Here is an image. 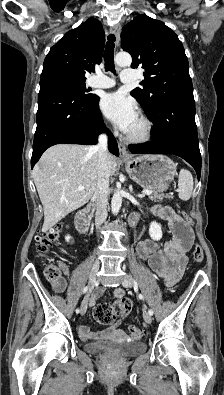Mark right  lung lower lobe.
I'll return each mask as SVG.
<instances>
[{"instance_id": "1", "label": "right lung lower lobe", "mask_w": 224, "mask_h": 395, "mask_svg": "<svg viewBox=\"0 0 224 395\" xmlns=\"http://www.w3.org/2000/svg\"><path fill=\"white\" fill-rule=\"evenodd\" d=\"M98 102L97 95L83 99L53 83L40 84L32 168L42 153L55 144H96L98 134L106 130ZM106 132L109 150L118 156L117 142L109 130Z\"/></svg>"}]
</instances>
